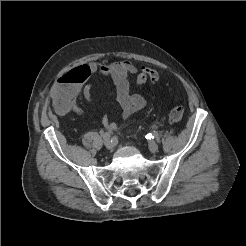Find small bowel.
<instances>
[{"instance_id": "obj_1", "label": "small bowel", "mask_w": 246, "mask_h": 246, "mask_svg": "<svg viewBox=\"0 0 246 246\" xmlns=\"http://www.w3.org/2000/svg\"><path fill=\"white\" fill-rule=\"evenodd\" d=\"M136 72V67L126 60L108 64L91 62L77 66L60 76L53 86L50 93L53 109L58 115L79 111L76 105L77 96L82 92L86 100H91L90 86L86 84V81L91 75L98 74L112 80L123 118L128 119L146 105L145 98L132 92L130 88L128 77ZM102 123L108 131H114L117 128V124L107 116L103 117Z\"/></svg>"}]
</instances>
